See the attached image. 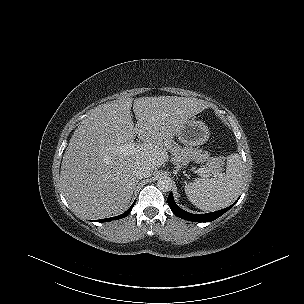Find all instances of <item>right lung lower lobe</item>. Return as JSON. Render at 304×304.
I'll use <instances>...</instances> for the list:
<instances>
[{"mask_svg": "<svg viewBox=\"0 0 304 304\" xmlns=\"http://www.w3.org/2000/svg\"><path fill=\"white\" fill-rule=\"evenodd\" d=\"M135 202L132 204V206L123 214L116 216V217H111V218H106V219H101V220H97L98 222H108L111 220H116V219H120V218H124L126 217L132 210L133 206H134Z\"/></svg>", "mask_w": 304, "mask_h": 304, "instance_id": "obj_1", "label": "right lung lower lobe"}]
</instances>
